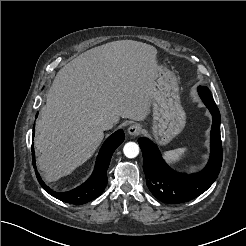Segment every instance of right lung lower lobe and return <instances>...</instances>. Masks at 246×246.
Masks as SVG:
<instances>
[{
	"label": "right lung lower lobe",
	"instance_id": "1",
	"mask_svg": "<svg viewBox=\"0 0 246 246\" xmlns=\"http://www.w3.org/2000/svg\"><path fill=\"white\" fill-rule=\"evenodd\" d=\"M35 130L33 129V137ZM123 130H118L116 133L111 135L103 144L98 154L96 165L91 177L81 186L69 191V192H55L51 190L41 179L38 171L35 169L37 179L43 189L53 197L75 205H81L89 202L102 194L104 191L108 179L107 169L115 149L124 141ZM32 160L35 168V155L34 147L32 145Z\"/></svg>",
	"mask_w": 246,
	"mask_h": 246
}]
</instances>
